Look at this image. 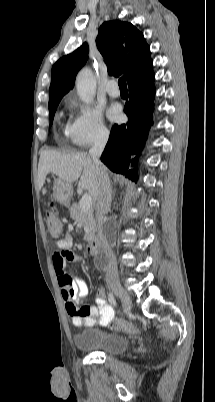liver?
<instances>
[{"instance_id": "6515ba94", "label": "liver", "mask_w": 215, "mask_h": 402, "mask_svg": "<svg viewBox=\"0 0 215 402\" xmlns=\"http://www.w3.org/2000/svg\"><path fill=\"white\" fill-rule=\"evenodd\" d=\"M49 173L70 184L80 178L78 187L87 190L93 199H97L98 174L92 157L87 153L43 151L38 164L39 190L42 189Z\"/></svg>"}]
</instances>
